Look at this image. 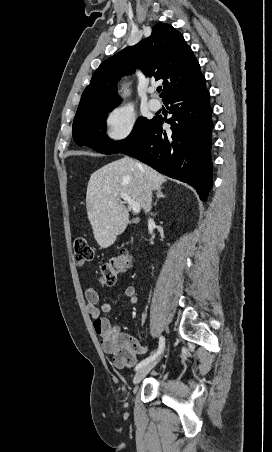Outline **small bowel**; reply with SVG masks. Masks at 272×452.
<instances>
[{"instance_id": "1", "label": "small bowel", "mask_w": 272, "mask_h": 452, "mask_svg": "<svg viewBox=\"0 0 272 452\" xmlns=\"http://www.w3.org/2000/svg\"><path fill=\"white\" fill-rule=\"evenodd\" d=\"M123 295L129 300L131 304H136L138 302L136 290L133 286L126 287L123 291ZM85 298L86 309L88 314L92 318L94 331L100 336L101 345L105 352L110 353V350L107 348V343L110 337H116L123 334L126 338L136 341L133 337L123 333L120 326L111 325L106 318L101 316V313L110 312L112 306L108 302H105L99 306V294L94 288L88 287L86 289ZM137 345L139 349L138 353H145L147 351L146 346L140 345L138 343Z\"/></svg>"}]
</instances>
